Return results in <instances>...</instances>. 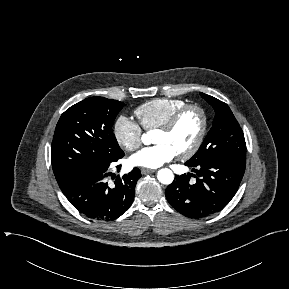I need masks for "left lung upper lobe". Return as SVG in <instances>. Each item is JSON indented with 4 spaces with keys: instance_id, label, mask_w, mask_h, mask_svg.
<instances>
[{
    "instance_id": "5c2ea615",
    "label": "left lung upper lobe",
    "mask_w": 289,
    "mask_h": 289,
    "mask_svg": "<svg viewBox=\"0 0 289 289\" xmlns=\"http://www.w3.org/2000/svg\"><path fill=\"white\" fill-rule=\"evenodd\" d=\"M215 110L213 126L199 150L187 161L198 165L206 160L223 156H246V144L242 129L229 106L210 95L200 93Z\"/></svg>"
}]
</instances>
